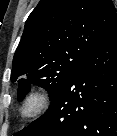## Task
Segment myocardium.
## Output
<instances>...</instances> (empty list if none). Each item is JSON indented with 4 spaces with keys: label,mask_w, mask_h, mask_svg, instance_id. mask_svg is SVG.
I'll return each mask as SVG.
<instances>
[{
    "label": "myocardium",
    "mask_w": 117,
    "mask_h": 136,
    "mask_svg": "<svg viewBox=\"0 0 117 136\" xmlns=\"http://www.w3.org/2000/svg\"><path fill=\"white\" fill-rule=\"evenodd\" d=\"M50 94L44 89L30 91L20 106V115L23 119H34L43 115L50 107Z\"/></svg>",
    "instance_id": "obj_1"
}]
</instances>
